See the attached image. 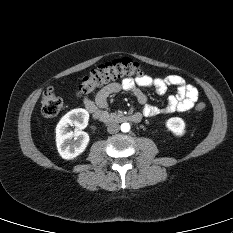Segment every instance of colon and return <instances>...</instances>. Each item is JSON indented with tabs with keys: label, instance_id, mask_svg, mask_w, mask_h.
Listing matches in <instances>:
<instances>
[{
	"label": "colon",
	"instance_id": "colon-1",
	"mask_svg": "<svg viewBox=\"0 0 233 233\" xmlns=\"http://www.w3.org/2000/svg\"><path fill=\"white\" fill-rule=\"evenodd\" d=\"M140 75H142V70L137 62L129 58L116 59L92 70L88 76L83 78L78 87V94L88 95L111 81ZM40 106L42 114L52 118L59 114L63 102L54 90L49 88L42 94ZM205 107L204 102H199L196 104L195 110L201 112Z\"/></svg>",
	"mask_w": 233,
	"mask_h": 233
}]
</instances>
